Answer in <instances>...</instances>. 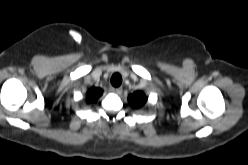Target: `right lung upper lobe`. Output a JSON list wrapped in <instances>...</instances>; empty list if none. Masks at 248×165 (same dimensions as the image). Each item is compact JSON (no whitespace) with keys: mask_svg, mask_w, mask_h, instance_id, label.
Returning a JSON list of instances; mask_svg holds the SVG:
<instances>
[{"mask_svg":"<svg viewBox=\"0 0 248 165\" xmlns=\"http://www.w3.org/2000/svg\"><path fill=\"white\" fill-rule=\"evenodd\" d=\"M102 93H103V91L100 88L92 87L87 92V101L88 102H94V101H96L102 95Z\"/></svg>","mask_w":248,"mask_h":165,"instance_id":"cb5924a9","label":"right lung upper lobe"}]
</instances>
